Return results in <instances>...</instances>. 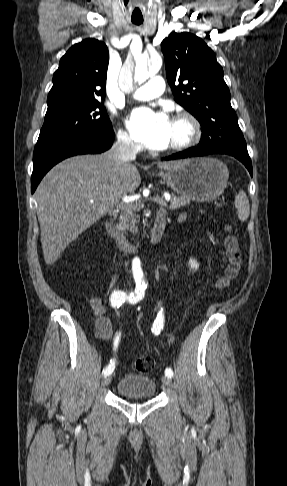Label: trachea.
<instances>
[{
	"instance_id": "obj_1",
	"label": "trachea",
	"mask_w": 287,
	"mask_h": 486,
	"mask_svg": "<svg viewBox=\"0 0 287 486\" xmlns=\"http://www.w3.org/2000/svg\"><path fill=\"white\" fill-rule=\"evenodd\" d=\"M142 22L143 21H133V23L136 24V25H140V24H142Z\"/></svg>"
}]
</instances>
